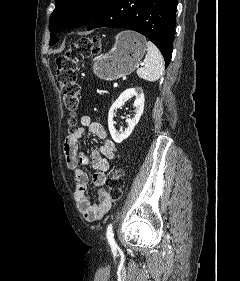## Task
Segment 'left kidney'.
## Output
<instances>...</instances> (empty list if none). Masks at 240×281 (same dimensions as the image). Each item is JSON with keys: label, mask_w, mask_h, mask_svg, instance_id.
I'll return each mask as SVG.
<instances>
[{"label": "left kidney", "mask_w": 240, "mask_h": 281, "mask_svg": "<svg viewBox=\"0 0 240 281\" xmlns=\"http://www.w3.org/2000/svg\"><path fill=\"white\" fill-rule=\"evenodd\" d=\"M130 96H135V101L133 106L135 107V115L133 118H128L126 120L128 127L125 129L124 132H118L114 126L113 117L115 115V111L121 108L124 105V100ZM144 110V94L143 90L139 87L137 88H130L125 90L118 99L112 104L109 113H108V128L112 139L116 143H121L123 140L127 139L130 134L132 133L134 127L140 120V117Z\"/></svg>", "instance_id": "left-kidney-1"}]
</instances>
